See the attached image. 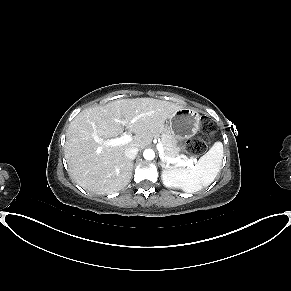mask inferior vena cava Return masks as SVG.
Masks as SVG:
<instances>
[{
	"mask_svg": "<svg viewBox=\"0 0 291 291\" xmlns=\"http://www.w3.org/2000/svg\"><path fill=\"white\" fill-rule=\"evenodd\" d=\"M139 149L137 147H129L125 150V156L129 159V160H133L135 159V157L138 154Z\"/></svg>",
	"mask_w": 291,
	"mask_h": 291,
	"instance_id": "inferior-vena-cava-1",
	"label": "inferior vena cava"
}]
</instances>
